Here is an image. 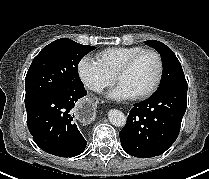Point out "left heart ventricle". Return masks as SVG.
<instances>
[{
  "instance_id": "left-heart-ventricle-1",
  "label": "left heart ventricle",
  "mask_w": 209,
  "mask_h": 179,
  "mask_svg": "<svg viewBox=\"0 0 209 179\" xmlns=\"http://www.w3.org/2000/svg\"><path fill=\"white\" fill-rule=\"evenodd\" d=\"M157 70L156 57L152 54H144L118 79V84L128 90L132 96L137 95L152 85Z\"/></svg>"
}]
</instances>
